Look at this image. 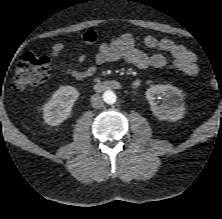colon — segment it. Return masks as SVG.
<instances>
[{
  "label": "colon",
  "mask_w": 222,
  "mask_h": 219,
  "mask_svg": "<svg viewBox=\"0 0 222 219\" xmlns=\"http://www.w3.org/2000/svg\"><path fill=\"white\" fill-rule=\"evenodd\" d=\"M51 74L50 59L34 52H25L19 59L12 78V87L21 91L28 87L47 81ZM211 85H216V79L211 78Z\"/></svg>",
  "instance_id": "colon-1"
}]
</instances>
